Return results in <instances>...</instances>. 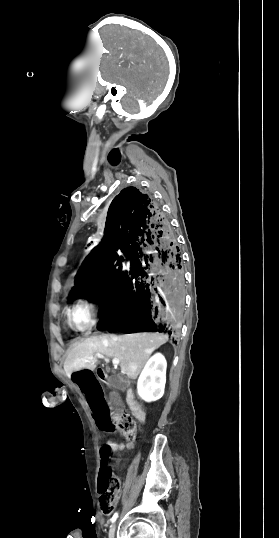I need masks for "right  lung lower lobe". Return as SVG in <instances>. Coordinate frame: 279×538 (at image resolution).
Here are the masks:
<instances>
[{"label":"right lung lower lobe","instance_id":"98d812e1","mask_svg":"<svg viewBox=\"0 0 279 538\" xmlns=\"http://www.w3.org/2000/svg\"><path fill=\"white\" fill-rule=\"evenodd\" d=\"M102 243L85 259L71 298H98L100 331L143 330L171 336L182 322L185 279L180 250L160 206L135 187L112 201ZM124 252L127 264L118 252Z\"/></svg>","mask_w":279,"mask_h":538}]
</instances>
